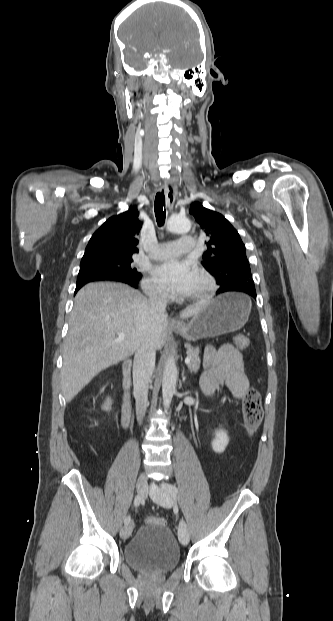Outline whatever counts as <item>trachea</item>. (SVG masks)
Masks as SVG:
<instances>
[{"mask_svg":"<svg viewBox=\"0 0 333 621\" xmlns=\"http://www.w3.org/2000/svg\"><path fill=\"white\" fill-rule=\"evenodd\" d=\"M164 206H165V196H164V191L162 190V192H158L156 194L155 202H154L155 217H156V221L159 227L164 225L165 218H166V210L164 209Z\"/></svg>","mask_w":333,"mask_h":621,"instance_id":"trachea-1","label":"trachea"}]
</instances>
